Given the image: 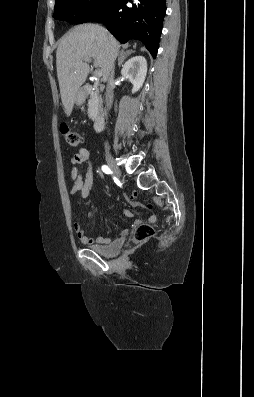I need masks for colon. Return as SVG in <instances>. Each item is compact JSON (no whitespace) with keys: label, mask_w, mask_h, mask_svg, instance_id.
Returning a JSON list of instances; mask_svg holds the SVG:
<instances>
[{"label":"colon","mask_w":254,"mask_h":397,"mask_svg":"<svg viewBox=\"0 0 254 397\" xmlns=\"http://www.w3.org/2000/svg\"><path fill=\"white\" fill-rule=\"evenodd\" d=\"M60 131L66 142L72 147H78L81 143L80 135L66 124H61ZM154 235V229L148 224H142L134 232L133 239L136 243H143Z\"/></svg>","instance_id":"5ec220e1"}]
</instances>
